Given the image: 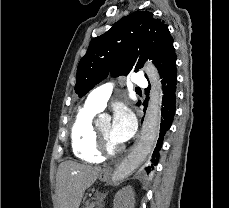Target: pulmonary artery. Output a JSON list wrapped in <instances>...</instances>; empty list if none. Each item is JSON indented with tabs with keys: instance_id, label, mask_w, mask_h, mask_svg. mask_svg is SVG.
<instances>
[{
	"instance_id": "obj_1",
	"label": "pulmonary artery",
	"mask_w": 229,
	"mask_h": 208,
	"mask_svg": "<svg viewBox=\"0 0 229 208\" xmlns=\"http://www.w3.org/2000/svg\"><path fill=\"white\" fill-rule=\"evenodd\" d=\"M130 76L141 77V72H131ZM133 82L135 83V86L138 87L148 86L146 78H134ZM117 83L118 81L110 80L93 89L85 101V106L98 112L102 111Z\"/></svg>"
}]
</instances>
